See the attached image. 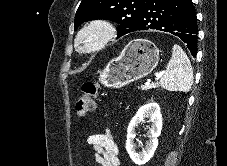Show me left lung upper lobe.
<instances>
[{"label": "left lung upper lobe", "mask_w": 227, "mask_h": 166, "mask_svg": "<svg viewBox=\"0 0 227 166\" xmlns=\"http://www.w3.org/2000/svg\"><path fill=\"white\" fill-rule=\"evenodd\" d=\"M147 0H82L75 15V30L85 21L108 19L120 24L118 37L133 32Z\"/></svg>", "instance_id": "obj_1"}]
</instances>
